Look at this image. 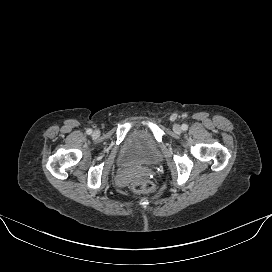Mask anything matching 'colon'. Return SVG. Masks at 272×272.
Listing matches in <instances>:
<instances>
[{
	"instance_id": "1",
	"label": "colon",
	"mask_w": 272,
	"mask_h": 272,
	"mask_svg": "<svg viewBox=\"0 0 272 272\" xmlns=\"http://www.w3.org/2000/svg\"><path fill=\"white\" fill-rule=\"evenodd\" d=\"M131 188L135 192L144 194H149L154 191V185L151 182L144 179H139L132 182Z\"/></svg>"
}]
</instances>
